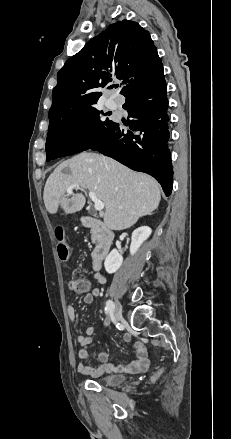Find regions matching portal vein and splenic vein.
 <instances>
[{"mask_svg": "<svg viewBox=\"0 0 231 439\" xmlns=\"http://www.w3.org/2000/svg\"><path fill=\"white\" fill-rule=\"evenodd\" d=\"M79 187L80 186L78 184H73L70 187H68L66 189V191L68 194H72L73 190L78 189ZM89 197L92 200V202L94 203L95 210L101 212L105 207L104 203L100 199L97 198V196L94 192H89Z\"/></svg>", "mask_w": 231, "mask_h": 439, "instance_id": "portal-vein-and-splenic-vein-1", "label": "portal vein and splenic vein"}]
</instances>
